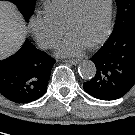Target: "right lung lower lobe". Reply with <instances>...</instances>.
I'll return each instance as SVG.
<instances>
[{
  "mask_svg": "<svg viewBox=\"0 0 135 135\" xmlns=\"http://www.w3.org/2000/svg\"><path fill=\"white\" fill-rule=\"evenodd\" d=\"M55 60L29 40L12 57L0 61V94L15 103H29L47 89Z\"/></svg>",
  "mask_w": 135,
  "mask_h": 135,
  "instance_id": "right-lung-lower-lobe-1",
  "label": "right lung lower lobe"
}]
</instances>
